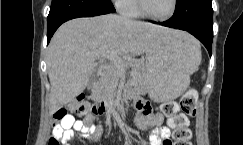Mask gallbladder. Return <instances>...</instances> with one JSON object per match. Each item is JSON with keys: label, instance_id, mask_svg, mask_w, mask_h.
<instances>
[{"label": "gallbladder", "instance_id": "gallbladder-1", "mask_svg": "<svg viewBox=\"0 0 243 145\" xmlns=\"http://www.w3.org/2000/svg\"><path fill=\"white\" fill-rule=\"evenodd\" d=\"M96 78H97V69L95 68V70L92 72V74L89 78V87H91L93 82L96 81Z\"/></svg>", "mask_w": 243, "mask_h": 145}]
</instances>
